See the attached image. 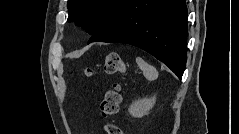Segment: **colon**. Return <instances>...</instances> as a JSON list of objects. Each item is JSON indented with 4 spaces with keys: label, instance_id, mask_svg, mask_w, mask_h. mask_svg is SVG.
I'll return each instance as SVG.
<instances>
[{
    "label": "colon",
    "instance_id": "5ec220e1",
    "mask_svg": "<svg viewBox=\"0 0 239 134\" xmlns=\"http://www.w3.org/2000/svg\"><path fill=\"white\" fill-rule=\"evenodd\" d=\"M105 70L109 74L124 73L126 71V64L119 54L109 53L105 60ZM85 72L87 75L93 74V70L90 68H87ZM121 101V87L114 85L105 93L100 103V114L103 117L115 115L119 110ZM105 131L107 134H122L121 129L115 124H107Z\"/></svg>",
    "mask_w": 239,
    "mask_h": 134
}]
</instances>
